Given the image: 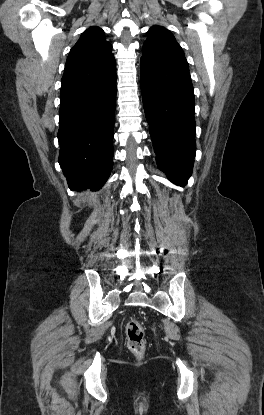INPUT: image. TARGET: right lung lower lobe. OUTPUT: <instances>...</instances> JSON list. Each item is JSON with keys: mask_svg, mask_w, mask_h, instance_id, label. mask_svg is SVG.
<instances>
[{"mask_svg": "<svg viewBox=\"0 0 264 415\" xmlns=\"http://www.w3.org/2000/svg\"><path fill=\"white\" fill-rule=\"evenodd\" d=\"M59 164L71 190L100 189L113 167L116 72L60 91Z\"/></svg>", "mask_w": 264, "mask_h": 415, "instance_id": "right-lung-lower-lobe-1", "label": "right lung lower lobe"}]
</instances>
